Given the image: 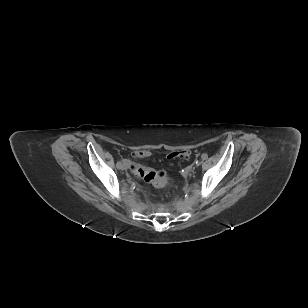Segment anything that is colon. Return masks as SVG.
Here are the masks:
<instances>
[{"label": "colon", "mask_w": 308, "mask_h": 308, "mask_svg": "<svg viewBox=\"0 0 308 308\" xmlns=\"http://www.w3.org/2000/svg\"><path fill=\"white\" fill-rule=\"evenodd\" d=\"M149 155H150L149 151L146 150H140L135 153L136 158H145L148 157ZM190 156L191 152L189 150H179L171 152L168 155L170 159L174 158L188 159L190 158ZM130 169L135 176L142 178L144 181L151 183L154 186L165 187L173 185V181L168 177L166 172L163 170H155L137 163L131 164Z\"/></svg>", "instance_id": "colon-1"}]
</instances>
